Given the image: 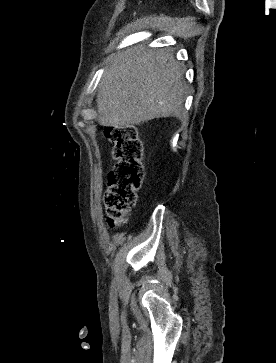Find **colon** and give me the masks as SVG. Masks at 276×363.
Segmentation results:
<instances>
[{"label":"colon","instance_id":"1","mask_svg":"<svg viewBox=\"0 0 276 363\" xmlns=\"http://www.w3.org/2000/svg\"><path fill=\"white\" fill-rule=\"evenodd\" d=\"M105 135L113 143L115 164L107 175L104 203L107 226L117 229L125 223L126 216L134 208L137 191L142 184V143L133 126L107 127Z\"/></svg>","mask_w":276,"mask_h":363}]
</instances>
